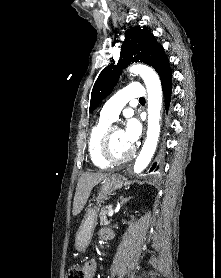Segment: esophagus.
Instances as JSON below:
<instances>
[{
    "mask_svg": "<svg viewBox=\"0 0 221 278\" xmlns=\"http://www.w3.org/2000/svg\"><path fill=\"white\" fill-rule=\"evenodd\" d=\"M144 129H146V124L144 125Z\"/></svg>",
    "mask_w": 221,
    "mask_h": 278,
    "instance_id": "1",
    "label": "esophagus"
}]
</instances>
